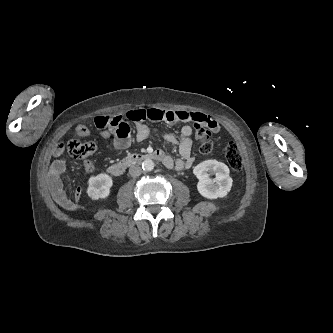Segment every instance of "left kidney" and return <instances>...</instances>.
<instances>
[{"instance_id": "5707ae66", "label": "left kidney", "mask_w": 333, "mask_h": 333, "mask_svg": "<svg viewBox=\"0 0 333 333\" xmlns=\"http://www.w3.org/2000/svg\"><path fill=\"white\" fill-rule=\"evenodd\" d=\"M194 175L199 179L198 192L205 198L216 199L225 197L232 187V178L229 168L217 160H206L195 166ZM215 175L211 179L210 175Z\"/></svg>"}]
</instances>
